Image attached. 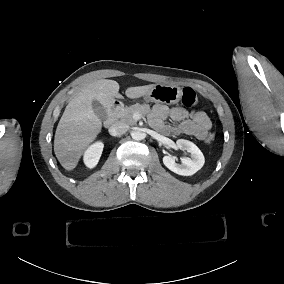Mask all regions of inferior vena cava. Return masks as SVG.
Instances as JSON below:
<instances>
[{
  "label": "inferior vena cava",
  "mask_w": 284,
  "mask_h": 284,
  "mask_svg": "<svg viewBox=\"0 0 284 284\" xmlns=\"http://www.w3.org/2000/svg\"><path fill=\"white\" fill-rule=\"evenodd\" d=\"M129 130V125L124 122H117L109 128V133L113 137L121 136Z\"/></svg>",
  "instance_id": "602c4592"
}]
</instances>
